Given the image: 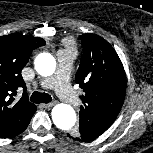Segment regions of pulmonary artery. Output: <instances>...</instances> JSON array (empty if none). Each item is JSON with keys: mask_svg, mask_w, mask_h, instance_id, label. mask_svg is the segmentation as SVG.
<instances>
[{"mask_svg": "<svg viewBox=\"0 0 153 153\" xmlns=\"http://www.w3.org/2000/svg\"><path fill=\"white\" fill-rule=\"evenodd\" d=\"M75 53L72 50H61L57 53L58 67L55 75L43 79L41 86L46 89L54 88L57 94L70 105L77 106L79 98L69 84L70 71Z\"/></svg>", "mask_w": 153, "mask_h": 153, "instance_id": "e3ab8cb5", "label": "pulmonary artery"}]
</instances>
